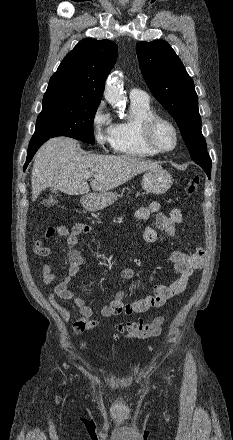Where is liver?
<instances>
[{"label":"liver","instance_id":"liver-1","mask_svg":"<svg viewBox=\"0 0 233 440\" xmlns=\"http://www.w3.org/2000/svg\"><path fill=\"white\" fill-rule=\"evenodd\" d=\"M160 168L157 163L127 155H81L77 141L69 137L48 140L38 151L32 169V201L48 187L68 195L89 192L84 175L94 178V191L107 192L126 183L139 173Z\"/></svg>","mask_w":233,"mask_h":440}]
</instances>
